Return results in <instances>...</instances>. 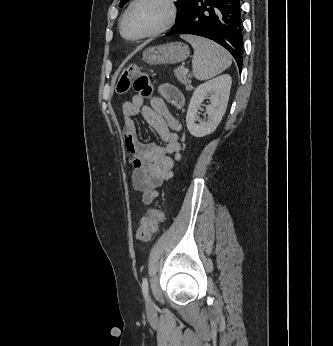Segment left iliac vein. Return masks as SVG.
Instances as JSON below:
<instances>
[{"instance_id":"obj_1","label":"left iliac vein","mask_w":333,"mask_h":346,"mask_svg":"<svg viewBox=\"0 0 333 346\" xmlns=\"http://www.w3.org/2000/svg\"><path fill=\"white\" fill-rule=\"evenodd\" d=\"M147 312L149 315H154L156 313V305L150 297L147 298Z\"/></svg>"}]
</instances>
